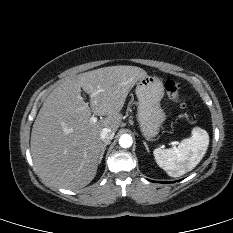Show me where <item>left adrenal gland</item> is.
Wrapping results in <instances>:
<instances>
[{"instance_id": "left-adrenal-gland-1", "label": "left adrenal gland", "mask_w": 233, "mask_h": 233, "mask_svg": "<svg viewBox=\"0 0 233 233\" xmlns=\"http://www.w3.org/2000/svg\"><path fill=\"white\" fill-rule=\"evenodd\" d=\"M144 145H145L147 151L149 152V148H148V145L146 144V142H144Z\"/></svg>"}]
</instances>
